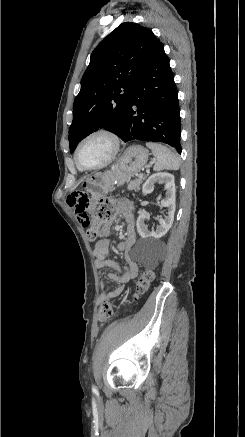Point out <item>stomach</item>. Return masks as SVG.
<instances>
[{"label": "stomach", "instance_id": "1", "mask_svg": "<svg viewBox=\"0 0 245 437\" xmlns=\"http://www.w3.org/2000/svg\"><path fill=\"white\" fill-rule=\"evenodd\" d=\"M148 161V151L141 145H132L127 148L111 170L104 173H94L87 176L81 184L85 193L91 195L94 202H98L108 192L114 190L115 186H121L130 177L140 171Z\"/></svg>", "mask_w": 245, "mask_h": 437}]
</instances>
